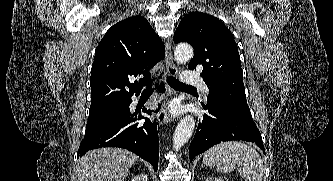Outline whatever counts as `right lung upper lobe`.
<instances>
[{"mask_svg":"<svg viewBox=\"0 0 333 181\" xmlns=\"http://www.w3.org/2000/svg\"><path fill=\"white\" fill-rule=\"evenodd\" d=\"M165 47L148 21L132 16L112 26L95 50L90 79L94 110L138 95L149 70L164 58ZM143 76L138 81L135 78Z\"/></svg>","mask_w":333,"mask_h":181,"instance_id":"right-lung-upper-lobe-1","label":"right lung upper lobe"}]
</instances>
